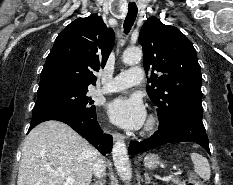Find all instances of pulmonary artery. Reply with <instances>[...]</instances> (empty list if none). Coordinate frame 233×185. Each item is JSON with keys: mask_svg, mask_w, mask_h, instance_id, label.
<instances>
[{"mask_svg": "<svg viewBox=\"0 0 233 185\" xmlns=\"http://www.w3.org/2000/svg\"><path fill=\"white\" fill-rule=\"evenodd\" d=\"M143 80V71L139 67H132L112 78L102 88L103 92H116L139 84Z\"/></svg>", "mask_w": 233, "mask_h": 185, "instance_id": "e3ab8cb5", "label": "pulmonary artery"}]
</instances>
